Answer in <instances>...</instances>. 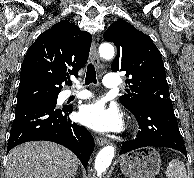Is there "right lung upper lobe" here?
Instances as JSON below:
<instances>
[{
	"label": "right lung upper lobe",
	"instance_id": "right-lung-upper-lobe-1",
	"mask_svg": "<svg viewBox=\"0 0 194 178\" xmlns=\"http://www.w3.org/2000/svg\"><path fill=\"white\" fill-rule=\"evenodd\" d=\"M92 37L63 20L42 33L21 65L18 104L58 97L62 82L86 64Z\"/></svg>",
	"mask_w": 194,
	"mask_h": 178
}]
</instances>
